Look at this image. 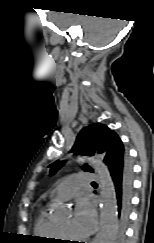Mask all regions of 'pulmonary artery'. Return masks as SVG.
Returning <instances> with one entry per match:
<instances>
[{
    "instance_id": "obj_1",
    "label": "pulmonary artery",
    "mask_w": 154,
    "mask_h": 243,
    "mask_svg": "<svg viewBox=\"0 0 154 243\" xmlns=\"http://www.w3.org/2000/svg\"><path fill=\"white\" fill-rule=\"evenodd\" d=\"M96 179L97 174L93 172L76 173L55 188V198L69 200L75 196L81 187Z\"/></svg>"
}]
</instances>
